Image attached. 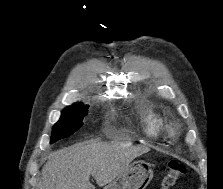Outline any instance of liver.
<instances>
[{"instance_id": "6515ba94", "label": "liver", "mask_w": 223, "mask_h": 189, "mask_svg": "<svg viewBox=\"0 0 223 189\" xmlns=\"http://www.w3.org/2000/svg\"><path fill=\"white\" fill-rule=\"evenodd\" d=\"M147 148L133 147L122 142L97 140L77 143L51 154L42 168L38 189H95L90 175L98 186L110 184Z\"/></svg>"}]
</instances>
